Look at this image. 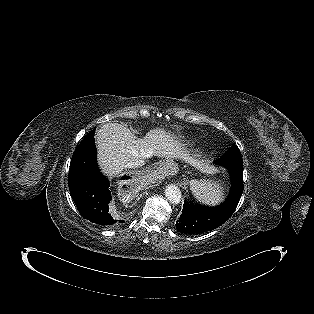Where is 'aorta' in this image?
<instances>
[{
	"label": "aorta",
	"mask_w": 314,
	"mask_h": 314,
	"mask_svg": "<svg viewBox=\"0 0 314 314\" xmlns=\"http://www.w3.org/2000/svg\"><path fill=\"white\" fill-rule=\"evenodd\" d=\"M165 196L167 200L172 204L180 203L182 198L181 190L175 184H170L166 186Z\"/></svg>",
	"instance_id": "1"
}]
</instances>
